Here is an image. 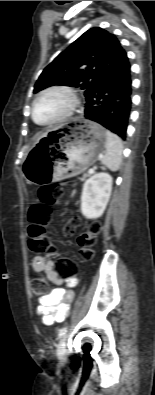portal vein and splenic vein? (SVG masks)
Instances as JSON below:
<instances>
[{
    "instance_id": "obj_1",
    "label": "portal vein and splenic vein",
    "mask_w": 155,
    "mask_h": 395,
    "mask_svg": "<svg viewBox=\"0 0 155 395\" xmlns=\"http://www.w3.org/2000/svg\"><path fill=\"white\" fill-rule=\"evenodd\" d=\"M90 174L94 173V169H89L88 171Z\"/></svg>"
}]
</instances>
